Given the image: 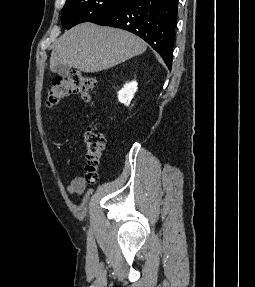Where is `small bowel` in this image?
<instances>
[{"label": "small bowel", "instance_id": "1", "mask_svg": "<svg viewBox=\"0 0 255 287\" xmlns=\"http://www.w3.org/2000/svg\"><path fill=\"white\" fill-rule=\"evenodd\" d=\"M85 189V182L82 178H75L68 187V191L71 195L81 194Z\"/></svg>", "mask_w": 255, "mask_h": 287}]
</instances>
